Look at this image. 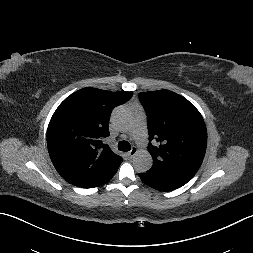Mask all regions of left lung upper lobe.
<instances>
[{
    "label": "left lung upper lobe",
    "instance_id": "5c2ea615",
    "mask_svg": "<svg viewBox=\"0 0 253 253\" xmlns=\"http://www.w3.org/2000/svg\"><path fill=\"white\" fill-rule=\"evenodd\" d=\"M148 119V174L188 182L200 168L207 146L204 120L186 98L169 90L139 93ZM155 139L156 145L151 141Z\"/></svg>",
    "mask_w": 253,
    "mask_h": 253
}]
</instances>
